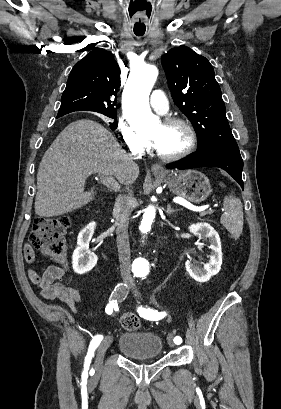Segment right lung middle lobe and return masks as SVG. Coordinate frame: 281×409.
<instances>
[{
  "instance_id": "1",
  "label": "right lung middle lobe",
  "mask_w": 281,
  "mask_h": 409,
  "mask_svg": "<svg viewBox=\"0 0 281 409\" xmlns=\"http://www.w3.org/2000/svg\"><path fill=\"white\" fill-rule=\"evenodd\" d=\"M102 114H104L105 116H108V117H110V118H113V119H117V114H116V111H114V112H101Z\"/></svg>"
}]
</instances>
